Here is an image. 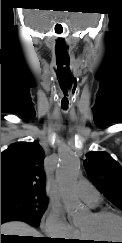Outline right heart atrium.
I'll return each instance as SVG.
<instances>
[{"label":"right heart atrium","mask_w":122,"mask_h":243,"mask_svg":"<svg viewBox=\"0 0 122 243\" xmlns=\"http://www.w3.org/2000/svg\"><path fill=\"white\" fill-rule=\"evenodd\" d=\"M43 230L48 236L55 239L76 238L78 236L77 231L64 220L56 206L50 208L43 223Z\"/></svg>","instance_id":"right-heart-atrium-1"}]
</instances>
